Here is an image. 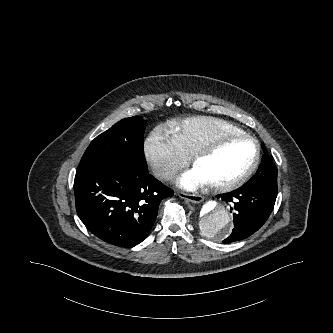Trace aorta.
Returning <instances> with one entry per match:
<instances>
[{"mask_svg":"<svg viewBox=\"0 0 333 333\" xmlns=\"http://www.w3.org/2000/svg\"><path fill=\"white\" fill-rule=\"evenodd\" d=\"M197 222L201 232L210 237H224L232 226L230 212L220 199H213L202 204Z\"/></svg>","mask_w":333,"mask_h":333,"instance_id":"762f6f07","label":"aorta"}]
</instances>
